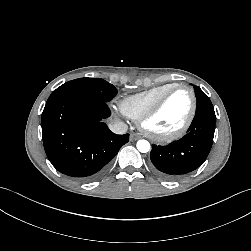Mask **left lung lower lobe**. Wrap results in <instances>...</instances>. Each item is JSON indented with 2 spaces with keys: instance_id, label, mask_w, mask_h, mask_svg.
I'll list each match as a JSON object with an SVG mask.
<instances>
[{
  "instance_id": "left-lung-lower-lobe-1",
  "label": "left lung lower lobe",
  "mask_w": 251,
  "mask_h": 251,
  "mask_svg": "<svg viewBox=\"0 0 251 251\" xmlns=\"http://www.w3.org/2000/svg\"><path fill=\"white\" fill-rule=\"evenodd\" d=\"M215 123V115L195 114L184 137L165 146L153 144L152 170L162 178L173 180L197 169L212 147Z\"/></svg>"
}]
</instances>
